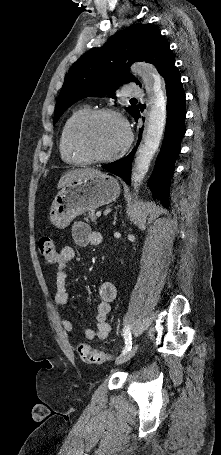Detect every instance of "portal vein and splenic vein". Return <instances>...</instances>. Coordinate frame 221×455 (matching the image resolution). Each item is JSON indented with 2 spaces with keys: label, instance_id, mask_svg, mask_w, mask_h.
Returning <instances> with one entry per match:
<instances>
[{
  "label": "portal vein and splenic vein",
  "instance_id": "obj_1",
  "mask_svg": "<svg viewBox=\"0 0 221 455\" xmlns=\"http://www.w3.org/2000/svg\"><path fill=\"white\" fill-rule=\"evenodd\" d=\"M96 216H97V217H101V212H97V213H96Z\"/></svg>",
  "mask_w": 221,
  "mask_h": 455
}]
</instances>
